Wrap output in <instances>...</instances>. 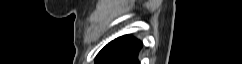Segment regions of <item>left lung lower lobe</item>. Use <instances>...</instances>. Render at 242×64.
Here are the masks:
<instances>
[{"instance_id":"1","label":"left lung lower lobe","mask_w":242,"mask_h":64,"mask_svg":"<svg viewBox=\"0 0 242 64\" xmlns=\"http://www.w3.org/2000/svg\"><path fill=\"white\" fill-rule=\"evenodd\" d=\"M142 42L124 35L108 43L96 56V64H140L137 59Z\"/></svg>"}]
</instances>
